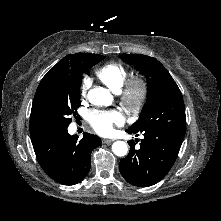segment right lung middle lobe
I'll return each instance as SVG.
<instances>
[{"mask_svg":"<svg viewBox=\"0 0 221 221\" xmlns=\"http://www.w3.org/2000/svg\"><path fill=\"white\" fill-rule=\"evenodd\" d=\"M98 54L83 53L70 71L60 78L40 82L32 104V117L36 127L47 133L65 129L80 107L82 73L103 60Z\"/></svg>","mask_w":221,"mask_h":221,"instance_id":"right-lung-middle-lobe-1","label":"right lung middle lobe"}]
</instances>
